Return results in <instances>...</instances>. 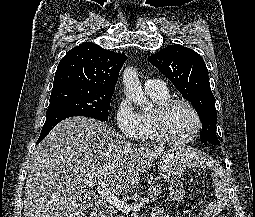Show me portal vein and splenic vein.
Here are the masks:
<instances>
[{
	"label": "portal vein and splenic vein",
	"mask_w": 255,
	"mask_h": 217,
	"mask_svg": "<svg viewBox=\"0 0 255 217\" xmlns=\"http://www.w3.org/2000/svg\"><path fill=\"white\" fill-rule=\"evenodd\" d=\"M85 184L89 187H95L94 180H85ZM97 192L104 198L111 206L116 208L117 210L123 213H129L132 209L140 208L146 203H148L149 198H144L142 201L131 205L124 200H121L117 196H115L107 187L105 181H99L96 186Z\"/></svg>",
	"instance_id": "portal-vein-and-splenic-vein-1"
}]
</instances>
